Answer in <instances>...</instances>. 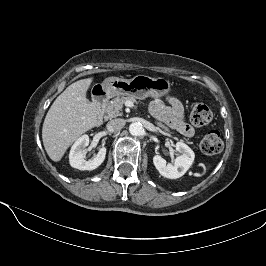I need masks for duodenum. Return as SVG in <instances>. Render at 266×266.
<instances>
[{"label": "duodenum", "mask_w": 266, "mask_h": 266, "mask_svg": "<svg viewBox=\"0 0 266 266\" xmlns=\"http://www.w3.org/2000/svg\"><path fill=\"white\" fill-rule=\"evenodd\" d=\"M108 100V92L104 89H98L93 95V102L96 108V123L102 122L104 108Z\"/></svg>", "instance_id": "duodenum-1"}]
</instances>
